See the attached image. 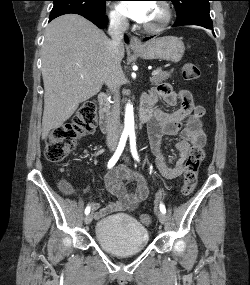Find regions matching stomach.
Returning a JSON list of instances; mask_svg holds the SVG:
<instances>
[{"mask_svg":"<svg viewBox=\"0 0 250 285\" xmlns=\"http://www.w3.org/2000/svg\"><path fill=\"white\" fill-rule=\"evenodd\" d=\"M185 46L182 39L175 36H164L150 40L142 49L134 52L143 59H161L177 63L183 57Z\"/></svg>","mask_w":250,"mask_h":285,"instance_id":"1","label":"stomach"}]
</instances>
